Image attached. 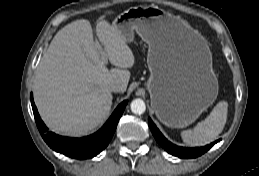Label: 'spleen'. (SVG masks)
<instances>
[{
    "mask_svg": "<svg viewBox=\"0 0 259 176\" xmlns=\"http://www.w3.org/2000/svg\"><path fill=\"white\" fill-rule=\"evenodd\" d=\"M228 103L219 102L210 115L199 122L193 130L181 132V137L187 145L204 146L213 142L223 131L227 120Z\"/></svg>",
    "mask_w": 259,
    "mask_h": 176,
    "instance_id": "spleen-1",
    "label": "spleen"
}]
</instances>
